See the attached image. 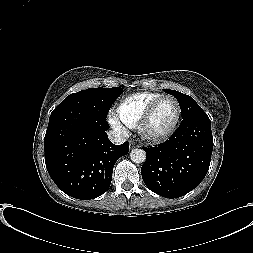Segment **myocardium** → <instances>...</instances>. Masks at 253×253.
Returning a JSON list of instances; mask_svg holds the SVG:
<instances>
[{
  "mask_svg": "<svg viewBox=\"0 0 253 253\" xmlns=\"http://www.w3.org/2000/svg\"><path fill=\"white\" fill-rule=\"evenodd\" d=\"M164 99L173 100V102L176 105V117H175V120H174L173 124L165 132L158 133V134H153V133L148 131V126L150 124V121H151V119L154 115V112H155L158 104ZM181 113H182L181 105H180V103H179V101L177 100L176 97H174L173 95H169V94L161 95L160 97L155 99L149 105V107L146 109L144 115L142 116L141 120L138 123V126H137L138 131H139L140 135L148 141L155 142V143L165 141L177 129V126H178L180 118H181Z\"/></svg>",
  "mask_w": 253,
  "mask_h": 253,
  "instance_id": "myocardium-1",
  "label": "myocardium"
}]
</instances>
